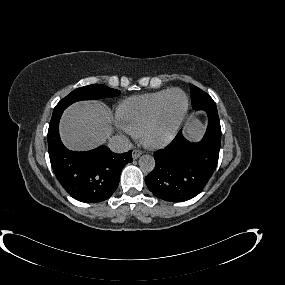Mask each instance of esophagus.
<instances>
[{
	"instance_id": "obj_1",
	"label": "esophagus",
	"mask_w": 285,
	"mask_h": 285,
	"mask_svg": "<svg viewBox=\"0 0 285 285\" xmlns=\"http://www.w3.org/2000/svg\"><path fill=\"white\" fill-rule=\"evenodd\" d=\"M143 151L142 150H138V149H134L132 151V157L134 160L138 159L140 157V155H142Z\"/></svg>"
}]
</instances>
